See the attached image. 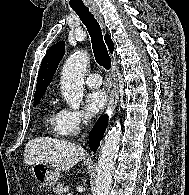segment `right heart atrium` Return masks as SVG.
Segmentation results:
<instances>
[{
    "instance_id": "1",
    "label": "right heart atrium",
    "mask_w": 189,
    "mask_h": 195,
    "mask_svg": "<svg viewBox=\"0 0 189 195\" xmlns=\"http://www.w3.org/2000/svg\"><path fill=\"white\" fill-rule=\"evenodd\" d=\"M61 114V130L65 135L77 134L89 120V117L80 110L63 109Z\"/></svg>"
}]
</instances>
